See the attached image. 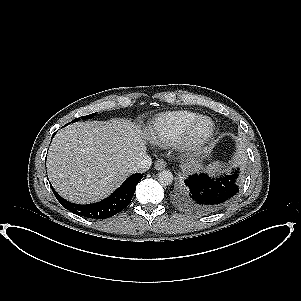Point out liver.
I'll return each mask as SVG.
<instances>
[{
    "instance_id": "obj_1",
    "label": "liver",
    "mask_w": 301,
    "mask_h": 301,
    "mask_svg": "<svg viewBox=\"0 0 301 301\" xmlns=\"http://www.w3.org/2000/svg\"><path fill=\"white\" fill-rule=\"evenodd\" d=\"M148 139L147 133L123 119L71 124L50 145L48 177L71 202L100 201L131 174L132 164L146 154Z\"/></svg>"
}]
</instances>
